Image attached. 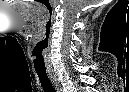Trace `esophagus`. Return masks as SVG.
<instances>
[{
	"label": "esophagus",
	"mask_w": 129,
	"mask_h": 92,
	"mask_svg": "<svg viewBox=\"0 0 129 92\" xmlns=\"http://www.w3.org/2000/svg\"><path fill=\"white\" fill-rule=\"evenodd\" d=\"M50 77H51V80H52V82H53L57 92H61L62 89H61V85H60L58 79L55 76H53V75H51Z\"/></svg>",
	"instance_id": "esophagus-1"
}]
</instances>
